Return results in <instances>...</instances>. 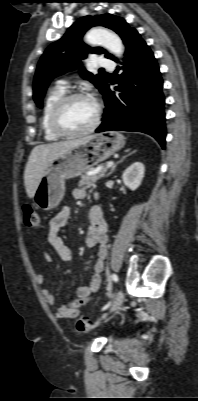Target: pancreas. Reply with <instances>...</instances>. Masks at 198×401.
Segmentation results:
<instances>
[{
  "label": "pancreas",
  "instance_id": "1",
  "mask_svg": "<svg viewBox=\"0 0 198 401\" xmlns=\"http://www.w3.org/2000/svg\"><path fill=\"white\" fill-rule=\"evenodd\" d=\"M106 171L107 167L105 165H102L99 172L92 175H83L78 183V186L84 189L93 187L100 178L105 176Z\"/></svg>",
  "mask_w": 198,
  "mask_h": 401
}]
</instances>
